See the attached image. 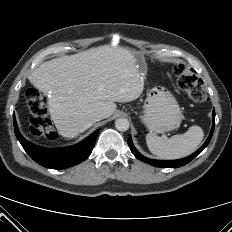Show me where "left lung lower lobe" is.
Listing matches in <instances>:
<instances>
[{"label": "left lung lower lobe", "instance_id": "1", "mask_svg": "<svg viewBox=\"0 0 232 232\" xmlns=\"http://www.w3.org/2000/svg\"><path fill=\"white\" fill-rule=\"evenodd\" d=\"M214 126H215V111L213 110V126H212V130L211 133L208 137V139L206 140V142L203 144V146L198 149L195 153H193L192 155H190L187 158L184 159H180V160H174V161H161V160H152L149 158L144 157L143 155H141L133 146L132 144V140L131 137H129L128 139V145L130 147L131 152L141 161L148 163L150 165H153L155 167H163V168H177V167H181L187 163H189L192 159H194L210 142L212 135H213V131H214Z\"/></svg>", "mask_w": 232, "mask_h": 232}]
</instances>
